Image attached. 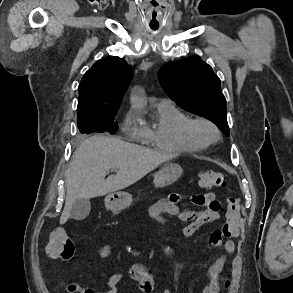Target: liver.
<instances>
[{"label": "liver", "instance_id": "liver-1", "mask_svg": "<svg viewBox=\"0 0 293 293\" xmlns=\"http://www.w3.org/2000/svg\"><path fill=\"white\" fill-rule=\"evenodd\" d=\"M174 157L113 137L94 135L85 139L74 152L66 172L67 193L60 224L69 219L77 199L104 196L127 188ZM111 169L116 174L105 179Z\"/></svg>", "mask_w": 293, "mask_h": 293}]
</instances>
